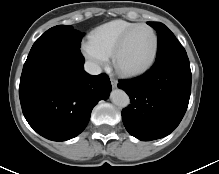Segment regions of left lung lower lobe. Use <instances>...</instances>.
Instances as JSON below:
<instances>
[{
  "instance_id": "0a47b994",
  "label": "left lung lower lobe",
  "mask_w": 219,
  "mask_h": 174,
  "mask_svg": "<svg viewBox=\"0 0 219 174\" xmlns=\"http://www.w3.org/2000/svg\"><path fill=\"white\" fill-rule=\"evenodd\" d=\"M118 87L131 100L122 111L126 130L142 141L165 137L179 125L189 103L191 70L187 54L156 59L147 73L120 80Z\"/></svg>"
}]
</instances>
